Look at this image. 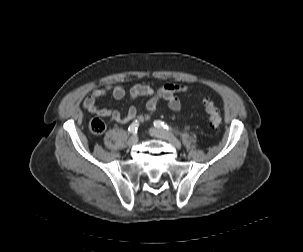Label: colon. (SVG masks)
<instances>
[{
  "label": "colon",
  "instance_id": "colon-1",
  "mask_svg": "<svg viewBox=\"0 0 303 252\" xmlns=\"http://www.w3.org/2000/svg\"><path fill=\"white\" fill-rule=\"evenodd\" d=\"M203 106L209 115L210 126L216 128L221 123V111L220 109L209 99L203 101ZM105 123L100 119H93L90 122V130L95 135H100L105 131Z\"/></svg>",
  "mask_w": 303,
  "mask_h": 252
}]
</instances>
